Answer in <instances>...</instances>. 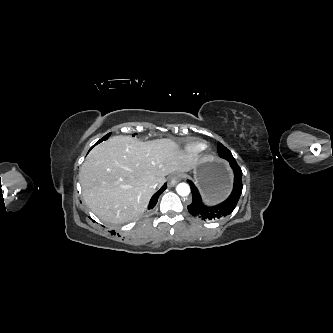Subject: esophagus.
<instances>
[{"mask_svg":"<svg viewBox=\"0 0 333 333\" xmlns=\"http://www.w3.org/2000/svg\"><path fill=\"white\" fill-rule=\"evenodd\" d=\"M181 180V175L173 174L168 179V186L172 187L176 185Z\"/></svg>","mask_w":333,"mask_h":333,"instance_id":"34e87169","label":"esophagus"}]
</instances>
